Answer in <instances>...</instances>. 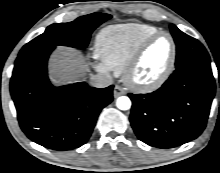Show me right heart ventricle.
<instances>
[{"label":"right heart ventricle","mask_w":220,"mask_h":173,"mask_svg":"<svg viewBox=\"0 0 220 173\" xmlns=\"http://www.w3.org/2000/svg\"><path fill=\"white\" fill-rule=\"evenodd\" d=\"M158 32V28L140 23L110 26L99 33L96 51L102 64L114 73L122 74L139 44Z\"/></svg>","instance_id":"1"}]
</instances>
